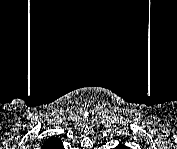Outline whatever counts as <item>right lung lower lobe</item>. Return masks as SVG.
I'll use <instances>...</instances> for the list:
<instances>
[{"label": "right lung lower lobe", "instance_id": "right-lung-lower-lobe-1", "mask_svg": "<svg viewBox=\"0 0 177 149\" xmlns=\"http://www.w3.org/2000/svg\"><path fill=\"white\" fill-rule=\"evenodd\" d=\"M58 137H52V138H49L46 142H49V144L48 143H45L46 145V147H54V148H61L62 147V143H61V140H60V142H58V143H55V145H50V143H52V141L53 140H55V139H57Z\"/></svg>", "mask_w": 177, "mask_h": 149}]
</instances>
